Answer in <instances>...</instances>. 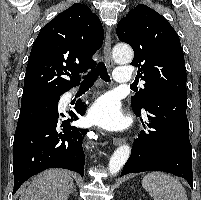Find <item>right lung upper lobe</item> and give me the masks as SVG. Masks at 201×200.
<instances>
[{
    "label": "right lung upper lobe",
    "mask_w": 201,
    "mask_h": 200,
    "mask_svg": "<svg viewBox=\"0 0 201 200\" xmlns=\"http://www.w3.org/2000/svg\"><path fill=\"white\" fill-rule=\"evenodd\" d=\"M99 18L75 3L46 24L36 38L27 64L22 98L57 96L80 83L91 69L92 55L103 43Z\"/></svg>",
    "instance_id": "right-lung-upper-lobe-1"
}]
</instances>
